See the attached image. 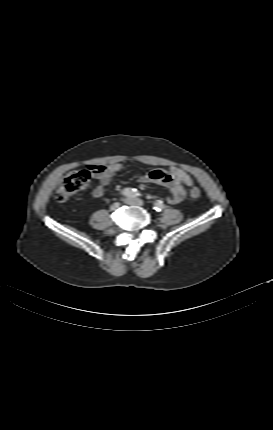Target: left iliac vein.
Returning <instances> with one entry per match:
<instances>
[{
    "label": "left iliac vein",
    "instance_id": "left-iliac-vein-1",
    "mask_svg": "<svg viewBox=\"0 0 273 430\" xmlns=\"http://www.w3.org/2000/svg\"><path fill=\"white\" fill-rule=\"evenodd\" d=\"M125 203L129 205H137V206H143L144 202L143 200L139 198H126Z\"/></svg>",
    "mask_w": 273,
    "mask_h": 430
}]
</instances>
